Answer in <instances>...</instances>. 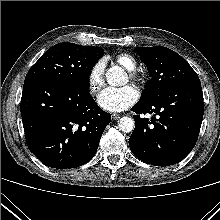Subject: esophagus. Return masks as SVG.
I'll return each instance as SVG.
<instances>
[{"label": "esophagus", "instance_id": "esophagus-1", "mask_svg": "<svg viewBox=\"0 0 220 220\" xmlns=\"http://www.w3.org/2000/svg\"><path fill=\"white\" fill-rule=\"evenodd\" d=\"M120 117H121L120 114H117V113H113V114H112V118H113L114 120H118Z\"/></svg>", "mask_w": 220, "mask_h": 220}]
</instances>
